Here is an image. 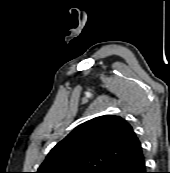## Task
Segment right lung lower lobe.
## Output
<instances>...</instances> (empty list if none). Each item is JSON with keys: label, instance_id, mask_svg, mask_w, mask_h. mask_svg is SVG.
Instances as JSON below:
<instances>
[{"label": "right lung lower lobe", "instance_id": "obj_1", "mask_svg": "<svg viewBox=\"0 0 170 173\" xmlns=\"http://www.w3.org/2000/svg\"><path fill=\"white\" fill-rule=\"evenodd\" d=\"M102 173H147L143 150L141 149L135 155L113 164Z\"/></svg>", "mask_w": 170, "mask_h": 173}]
</instances>
